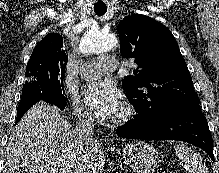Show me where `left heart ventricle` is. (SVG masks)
<instances>
[{"mask_svg": "<svg viewBox=\"0 0 219 173\" xmlns=\"http://www.w3.org/2000/svg\"><path fill=\"white\" fill-rule=\"evenodd\" d=\"M121 107L119 108V110L116 112V114L114 115V116H117L118 114H120L121 113Z\"/></svg>", "mask_w": 219, "mask_h": 173, "instance_id": "obj_1", "label": "left heart ventricle"}]
</instances>
